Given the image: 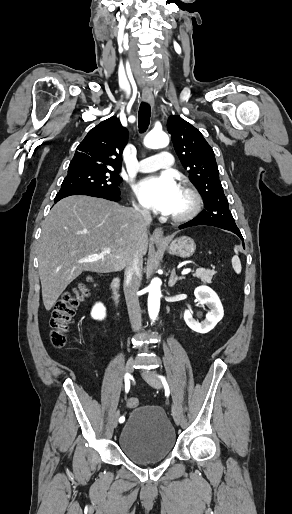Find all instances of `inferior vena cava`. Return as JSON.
Listing matches in <instances>:
<instances>
[{"instance_id": "602c4592", "label": "inferior vena cava", "mask_w": 292, "mask_h": 514, "mask_svg": "<svg viewBox=\"0 0 292 514\" xmlns=\"http://www.w3.org/2000/svg\"><path fill=\"white\" fill-rule=\"evenodd\" d=\"M134 214H137L138 224V236L142 238L147 232L149 224L152 222L150 212L148 210H134ZM139 244V242H138ZM143 254L140 246H137L133 254H131V260L126 264L125 278H124V294L128 308L129 320L132 330L139 332L141 330V310L139 306V300L137 292L140 288V276L142 274L143 266Z\"/></svg>"}]
</instances>
